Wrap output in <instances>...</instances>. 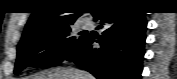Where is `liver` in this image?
Segmentation results:
<instances>
[{"instance_id": "1", "label": "liver", "mask_w": 177, "mask_h": 79, "mask_svg": "<svg viewBox=\"0 0 177 79\" xmlns=\"http://www.w3.org/2000/svg\"><path fill=\"white\" fill-rule=\"evenodd\" d=\"M26 79H94V76L74 68H53L28 76Z\"/></svg>"}]
</instances>
